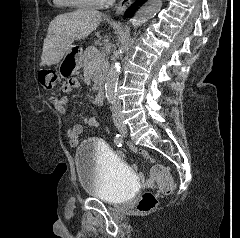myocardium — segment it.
I'll return each mask as SVG.
<instances>
[{
  "label": "myocardium",
  "instance_id": "myocardium-1",
  "mask_svg": "<svg viewBox=\"0 0 240 238\" xmlns=\"http://www.w3.org/2000/svg\"><path fill=\"white\" fill-rule=\"evenodd\" d=\"M68 1L80 7H101L111 3V0H68Z\"/></svg>",
  "mask_w": 240,
  "mask_h": 238
}]
</instances>
